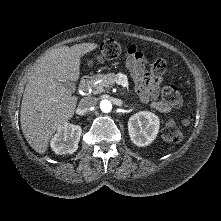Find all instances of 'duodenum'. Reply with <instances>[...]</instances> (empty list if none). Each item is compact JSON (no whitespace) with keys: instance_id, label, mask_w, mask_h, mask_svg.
Returning a JSON list of instances; mask_svg holds the SVG:
<instances>
[{"instance_id":"410a0bca","label":"duodenum","mask_w":221,"mask_h":221,"mask_svg":"<svg viewBox=\"0 0 221 221\" xmlns=\"http://www.w3.org/2000/svg\"><path fill=\"white\" fill-rule=\"evenodd\" d=\"M94 80V76L92 75H86L84 76L79 84V90L81 93H86L88 89L90 88L92 82Z\"/></svg>"}]
</instances>
